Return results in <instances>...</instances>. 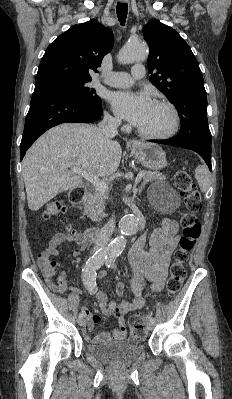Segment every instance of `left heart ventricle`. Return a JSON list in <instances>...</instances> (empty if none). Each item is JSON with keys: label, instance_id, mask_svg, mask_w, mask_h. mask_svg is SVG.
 Returning <instances> with one entry per match:
<instances>
[{"label": "left heart ventricle", "instance_id": "left-heart-ventricle-1", "mask_svg": "<svg viewBox=\"0 0 232 399\" xmlns=\"http://www.w3.org/2000/svg\"><path fill=\"white\" fill-rule=\"evenodd\" d=\"M172 126V114L162 105L152 104L151 108L136 128L148 135H160L167 132Z\"/></svg>", "mask_w": 232, "mask_h": 399}]
</instances>
